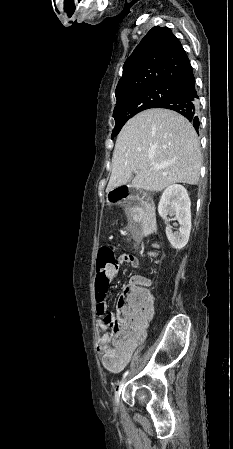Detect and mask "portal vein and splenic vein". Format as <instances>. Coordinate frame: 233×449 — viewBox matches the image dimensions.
<instances>
[{
	"instance_id": "portal-vein-and-splenic-vein-1",
	"label": "portal vein and splenic vein",
	"mask_w": 233,
	"mask_h": 449,
	"mask_svg": "<svg viewBox=\"0 0 233 449\" xmlns=\"http://www.w3.org/2000/svg\"><path fill=\"white\" fill-rule=\"evenodd\" d=\"M154 168H159V166H157V165H154Z\"/></svg>"
}]
</instances>
